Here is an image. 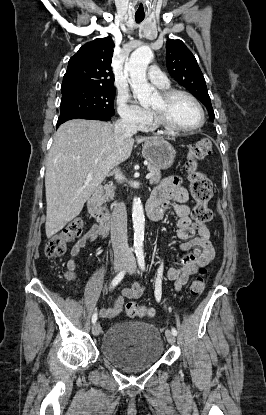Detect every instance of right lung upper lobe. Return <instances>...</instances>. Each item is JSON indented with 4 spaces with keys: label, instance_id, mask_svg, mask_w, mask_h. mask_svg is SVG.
Returning a JSON list of instances; mask_svg holds the SVG:
<instances>
[{
    "label": "right lung upper lobe",
    "instance_id": "cb5924a9",
    "mask_svg": "<svg viewBox=\"0 0 266 415\" xmlns=\"http://www.w3.org/2000/svg\"><path fill=\"white\" fill-rule=\"evenodd\" d=\"M114 43L111 37L98 38L83 45L71 57L61 90L114 87L111 69Z\"/></svg>",
    "mask_w": 266,
    "mask_h": 415
}]
</instances>
